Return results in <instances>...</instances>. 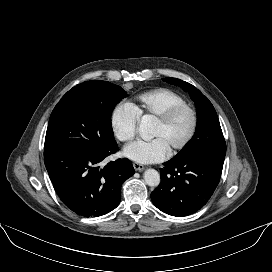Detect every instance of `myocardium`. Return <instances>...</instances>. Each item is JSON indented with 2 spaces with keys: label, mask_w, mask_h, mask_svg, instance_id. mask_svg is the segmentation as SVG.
Here are the masks:
<instances>
[{
  "label": "myocardium",
  "mask_w": 272,
  "mask_h": 272,
  "mask_svg": "<svg viewBox=\"0 0 272 272\" xmlns=\"http://www.w3.org/2000/svg\"><path fill=\"white\" fill-rule=\"evenodd\" d=\"M181 112H187L190 115L191 126L186 137L179 144L175 145L169 150L170 155L176 154L179 151L183 150L194 138L198 128L197 112L192 106L183 103L168 108L166 111H164L162 114L154 119V122L165 125L168 124L176 115Z\"/></svg>",
  "instance_id": "1"
}]
</instances>
